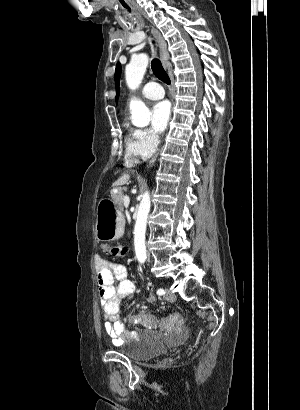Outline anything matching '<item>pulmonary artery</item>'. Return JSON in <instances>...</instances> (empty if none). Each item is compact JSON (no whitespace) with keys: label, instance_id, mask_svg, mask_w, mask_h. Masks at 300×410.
I'll list each match as a JSON object with an SVG mask.
<instances>
[{"label":"pulmonary artery","instance_id":"e3ab8cb5","mask_svg":"<svg viewBox=\"0 0 300 410\" xmlns=\"http://www.w3.org/2000/svg\"><path fill=\"white\" fill-rule=\"evenodd\" d=\"M141 95L146 99L158 100L164 97V91L159 84L151 82L143 87Z\"/></svg>","mask_w":300,"mask_h":410}]
</instances>
